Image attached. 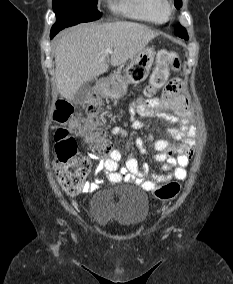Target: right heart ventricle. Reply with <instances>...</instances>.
Returning a JSON list of instances; mask_svg holds the SVG:
<instances>
[{"mask_svg": "<svg viewBox=\"0 0 233 284\" xmlns=\"http://www.w3.org/2000/svg\"><path fill=\"white\" fill-rule=\"evenodd\" d=\"M162 3V0H114L112 8L133 20L161 24L166 19L161 12Z\"/></svg>", "mask_w": 233, "mask_h": 284, "instance_id": "obj_1", "label": "right heart ventricle"}]
</instances>
